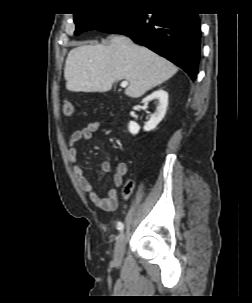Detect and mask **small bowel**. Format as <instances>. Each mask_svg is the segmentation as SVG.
I'll list each match as a JSON object with an SVG mask.
<instances>
[{
	"label": "small bowel",
	"instance_id": "1",
	"mask_svg": "<svg viewBox=\"0 0 252 303\" xmlns=\"http://www.w3.org/2000/svg\"><path fill=\"white\" fill-rule=\"evenodd\" d=\"M105 127V123L102 121L89 122L84 128L76 130L70 137L68 146V157L71 163L73 175L80 186L81 190L88 194L90 201L93 205L104 211H113L116 209L118 204V192L115 188H112L108 192V197L102 198L97 192L90 179L84 173L82 167L78 162V149L77 144L88 141L92 138L93 133L102 130ZM111 169L109 161L105 160L101 162V170L104 173H108ZM127 172V165L121 162L117 165L115 174L113 176V183L116 187L123 185V176Z\"/></svg>",
	"mask_w": 252,
	"mask_h": 303
}]
</instances>
